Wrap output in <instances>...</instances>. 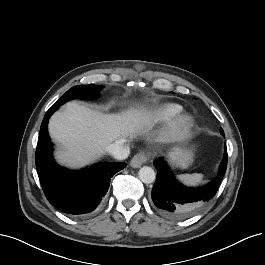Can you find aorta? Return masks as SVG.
<instances>
[{
    "label": "aorta",
    "mask_w": 265,
    "mask_h": 265,
    "mask_svg": "<svg viewBox=\"0 0 265 265\" xmlns=\"http://www.w3.org/2000/svg\"><path fill=\"white\" fill-rule=\"evenodd\" d=\"M138 175L139 179L145 184L153 183L156 179L155 171L149 166L140 168Z\"/></svg>",
    "instance_id": "aorta-1"
}]
</instances>
